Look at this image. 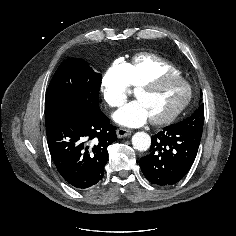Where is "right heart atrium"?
<instances>
[{"instance_id": "obj_1", "label": "right heart atrium", "mask_w": 236, "mask_h": 236, "mask_svg": "<svg viewBox=\"0 0 236 236\" xmlns=\"http://www.w3.org/2000/svg\"><path fill=\"white\" fill-rule=\"evenodd\" d=\"M127 76L128 64L122 60L114 61L103 73L100 88L111 107H120L126 101L129 92Z\"/></svg>"}]
</instances>
